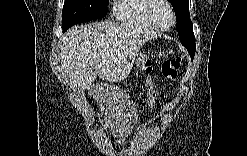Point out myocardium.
I'll return each instance as SVG.
<instances>
[{
    "mask_svg": "<svg viewBox=\"0 0 247 156\" xmlns=\"http://www.w3.org/2000/svg\"><path fill=\"white\" fill-rule=\"evenodd\" d=\"M160 3H163L165 4L169 11H170V14H171V23L167 26H161L160 24H158L156 22V20L154 19V16H153V12L156 8V6ZM147 16H148V19L149 21L151 22V24L156 28V29H159V30H168L170 29L171 27L174 26L175 24V21H176V16H175V12L173 10V7L172 5L170 4V2H168L167 0H151L147 6Z\"/></svg>",
    "mask_w": 247,
    "mask_h": 156,
    "instance_id": "myocardium-1",
    "label": "myocardium"
}]
</instances>
